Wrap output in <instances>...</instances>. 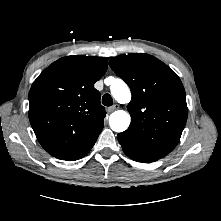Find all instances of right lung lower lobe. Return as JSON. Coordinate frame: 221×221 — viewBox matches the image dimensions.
I'll use <instances>...</instances> for the list:
<instances>
[{
  "label": "right lung lower lobe",
  "mask_w": 221,
  "mask_h": 221,
  "mask_svg": "<svg viewBox=\"0 0 221 221\" xmlns=\"http://www.w3.org/2000/svg\"><path fill=\"white\" fill-rule=\"evenodd\" d=\"M97 138H98V136L89 145H87L83 150H81L80 152L66 158L65 160L74 161V160H78V159H81L82 157H84L91 150V148L93 147V145L96 142Z\"/></svg>",
  "instance_id": "98d812e1"
}]
</instances>
